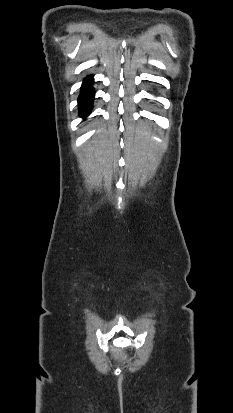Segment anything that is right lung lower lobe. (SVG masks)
I'll list each match as a JSON object with an SVG mask.
<instances>
[{
	"label": "right lung lower lobe",
	"mask_w": 233,
	"mask_h": 413,
	"mask_svg": "<svg viewBox=\"0 0 233 413\" xmlns=\"http://www.w3.org/2000/svg\"><path fill=\"white\" fill-rule=\"evenodd\" d=\"M93 84V78L92 76H88L85 78L82 87H81V92L78 97V105H79V112L80 116H87L92 109V104L94 100V89L92 87Z\"/></svg>",
	"instance_id": "right-lung-lower-lobe-1"
}]
</instances>
